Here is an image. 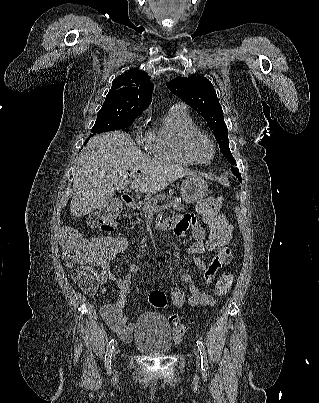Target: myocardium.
I'll use <instances>...</instances> for the list:
<instances>
[{"mask_svg": "<svg viewBox=\"0 0 319 403\" xmlns=\"http://www.w3.org/2000/svg\"><path fill=\"white\" fill-rule=\"evenodd\" d=\"M197 138H204L211 145L212 158L209 161H206V162L201 161L196 156L195 151H194V142ZM182 148L188 157H190L195 163L201 164V165L212 162L216 156V146H215L214 141L212 140V138L210 137V135L208 133H206L205 131L198 129V128L191 129L184 134L183 139H182Z\"/></svg>", "mask_w": 319, "mask_h": 403, "instance_id": "myocardium-1", "label": "myocardium"}]
</instances>
